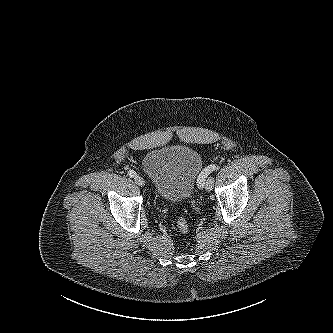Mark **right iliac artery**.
Segmentation results:
<instances>
[{
  "label": "right iliac artery",
  "instance_id": "obj_1",
  "mask_svg": "<svg viewBox=\"0 0 333 333\" xmlns=\"http://www.w3.org/2000/svg\"><path fill=\"white\" fill-rule=\"evenodd\" d=\"M128 175H129V177L133 178V177L136 175V173H135V171L130 170V171L128 172Z\"/></svg>",
  "mask_w": 333,
  "mask_h": 333
}]
</instances>
